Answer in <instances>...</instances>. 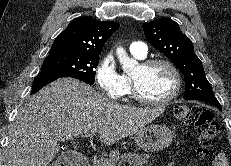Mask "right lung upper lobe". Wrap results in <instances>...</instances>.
<instances>
[{
	"instance_id": "obj_1",
	"label": "right lung upper lobe",
	"mask_w": 231,
	"mask_h": 166,
	"mask_svg": "<svg viewBox=\"0 0 231 166\" xmlns=\"http://www.w3.org/2000/svg\"><path fill=\"white\" fill-rule=\"evenodd\" d=\"M119 26L112 21H98L89 17L76 18L56 37L49 52L70 51L99 55L106 40Z\"/></svg>"
}]
</instances>
